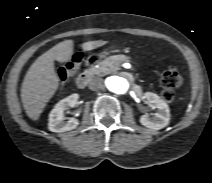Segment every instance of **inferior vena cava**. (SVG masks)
Wrapping results in <instances>:
<instances>
[{"label":"inferior vena cava","instance_id":"1","mask_svg":"<svg viewBox=\"0 0 212 183\" xmlns=\"http://www.w3.org/2000/svg\"><path fill=\"white\" fill-rule=\"evenodd\" d=\"M103 87V81L101 78L94 77L89 82V89L91 90H100Z\"/></svg>","mask_w":212,"mask_h":183}]
</instances>
